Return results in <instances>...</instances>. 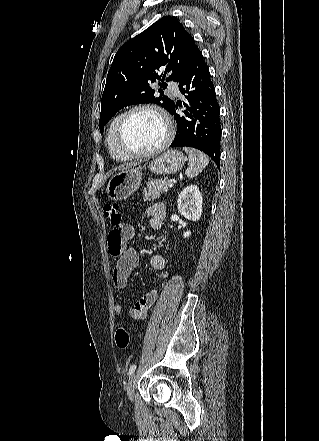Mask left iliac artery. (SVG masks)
Listing matches in <instances>:
<instances>
[{"label": "left iliac artery", "mask_w": 319, "mask_h": 441, "mask_svg": "<svg viewBox=\"0 0 319 441\" xmlns=\"http://www.w3.org/2000/svg\"><path fill=\"white\" fill-rule=\"evenodd\" d=\"M136 370V364H133L130 368H129V375H132Z\"/></svg>", "instance_id": "left-iliac-artery-1"}]
</instances>
